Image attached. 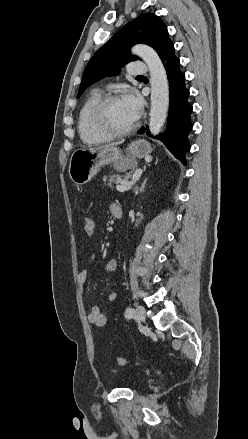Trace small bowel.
Returning <instances> with one entry per match:
<instances>
[{
	"label": "small bowel",
	"instance_id": "small-bowel-1",
	"mask_svg": "<svg viewBox=\"0 0 248 439\" xmlns=\"http://www.w3.org/2000/svg\"><path fill=\"white\" fill-rule=\"evenodd\" d=\"M117 206V204L113 203L110 205V210L112 212L113 208ZM95 259V254H90L88 258V262L91 263ZM118 262L115 259L109 260L105 265L106 272H113L117 270ZM88 278H89V270L87 267L83 268L78 275L79 286L82 291H85L88 286ZM109 301L113 302L117 298V294L115 292H109L107 295ZM88 320L91 324L97 327H103L108 322V316L101 312L98 306H92L88 313Z\"/></svg>",
	"mask_w": 248,
	"mask_h": 439
}]
</instances>
